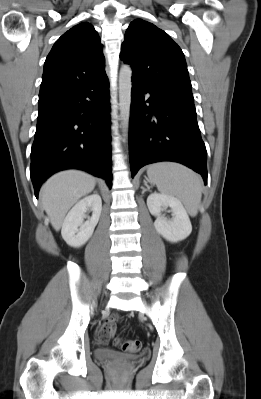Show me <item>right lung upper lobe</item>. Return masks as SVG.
I'll return each instance as SVG.
<instances>
[{
  "label": "right lung upper lobe",
  "instance_id": "cb5924a9",
  "mask_svg": "<svg viewBox=\"0 0 261 399\" xmlns=\"http://www.w3.org/2000/svg\"><path fill=\"white\" fill-rule=\"evenodd\" d=\"M100 38L89 23H80L53 45L43 70L39 99L48 98L106 75Z\"/></svg>",
  "mask_w": 261,
  "mask_h": 399
}]
</instances>
